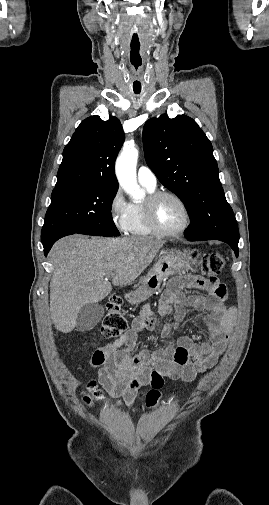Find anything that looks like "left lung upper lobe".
Wrapping results in <instances>:
<instances>
[{"label":"left lung upper lobe","instance_id":"left-lung-upper-lobe-1","mask_svg":"<svg viewBox=\"0 0 269 505\" xmlns=\"http://www.w3.org/2000/svg\"><path fill=\"white\" fill-rule=\"evenodd\" d=\"M143 144L149 168L189 211L191 223L186 238L239 241L212 144L198 124L186 115L151 118L143 128Z\"/></svg>","mask_w":269,"mask_h":505}]
</instances>
